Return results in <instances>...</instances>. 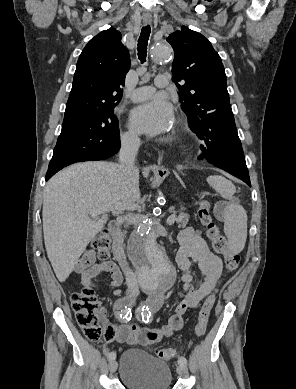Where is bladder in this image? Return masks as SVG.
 Returning a JSON list of instances; mask_svg holds the SVG:
<instances>
[{
  "label": "bladder",
  "mask_w": 296,
  "mask_h": 389,
  "mask_svg": "<svg viewBox=\"0 0 296 389\" xmlns=\"http://www.w3.org/2000/svg\"><path fill=\"white\" fill-rule=\"evenodd\" d=\"M119 378L128 389H170L169 365L141 349H127L120 357Z\"/></svg>",
  "instance_id": "31cf9c89"
}]
</instances>
